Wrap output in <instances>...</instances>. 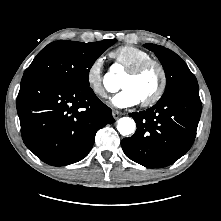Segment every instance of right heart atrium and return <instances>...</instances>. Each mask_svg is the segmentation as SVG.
Returning a JSON list of instances; mask_svg holds the SVG:
<instances>
[{"instance_id": "right-heart-atrium-1", "label": "right heart atrium", "mask_w": 221, "mask_h": 221, "mask_svg": "<svg viewBox=\"0 0 221 221\" xmlns=\"http://www.w3.org/2000/svg\"><path fill=\"white\" fill-rule=\"evenodd\" d=\"M103 65L102 56H97L86 69L85 78L89 89L94 95L100 98L106 97V89L103 83Z\"/></svg>"}]
</instances>
